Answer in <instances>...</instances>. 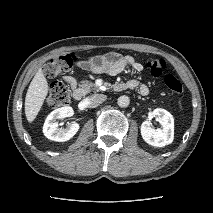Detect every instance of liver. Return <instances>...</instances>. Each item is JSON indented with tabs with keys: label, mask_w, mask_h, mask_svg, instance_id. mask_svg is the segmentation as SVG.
<instances>
[{
	"label": "liver",
	"mask_w": 213,
	"mask_h": 213,
	"mask_svg": "<svg viewBox=\"0 0 213 213\" xmlns=\"http://www.w3.org/2000/svg\"><path fill=\"white\" fill-rule=\"evenodd\" d=\"M48 94V83L40 68L32 79L25 97V115L29 123L38 115Z\"/></svg>",
	"instance_id": "6515ba94"
}]
</instances>
